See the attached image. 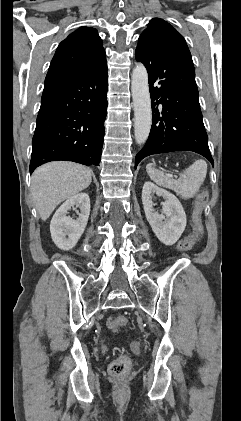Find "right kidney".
I'll return each mask as SVG.
<instances>
[{
    "instance_id": "obj_1",
    "label": "right kidney",
    "mask_w": 241,
    "mask_h": 421,
    "mask_svg": "<svg viewBox=\"0 0 241 421\" xmlns=\"http://www.w3.org/2000/svg\"><path fill=\"white\" fill-rule=\"evenodd\" d=\"M71 208H79L78 218L67 216ZM90 214V198L79 193L66 200L55 212L51 224V237L56 246L63 250L73 248L82 236Z\"/></svg>"
}]
</instances>
